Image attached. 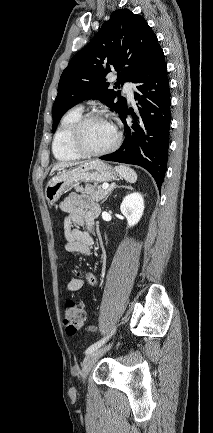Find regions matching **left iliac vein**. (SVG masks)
Returning a JSON list of instances; mask_svg holds the SVG:
<instances>
[{
	"instance_id": "left-iliac-vein-1",
	"label": "left iliac vein",
	"mask_w": 213,
	"mask_h": 433,
	"mask_svg": "<svg viewBox=\"0 0 213 433\" xmlns=\"http://www.w3.org/2000/svg\"><path fill=\"white\" fill-rule=\"evenodd\" d=\"M110 348V345L101 348L96 349L95 351L89 353L83 360L82 364V371H81V377L83 381L86 379L87 375L89 374L90 370L92 369L95 362L98 360L99 357H101L104 352H106Z\"/></svg>"
}]
</instances>
